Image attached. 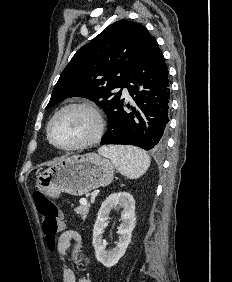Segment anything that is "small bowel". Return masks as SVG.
<instances>
[{
  "mask_svg": "<svg viewBox=\"0 0 232 282\" xmlns=\"http://www.w3.org/2000/svg\"><path fill=\"white\" fill-rule=\"evenodd\" d=\"M70 250L71 260L88 262L82 252V238L75 230H64L58 238L57 254L60 260V273L63 282H91L88 278L77 276L66 263V255Z\"/></svg>",
  "mask_w": 232,
  "mask_h": 282,
  "instance_id": "1",
  "label": "small bowel"
}]
</instances>
